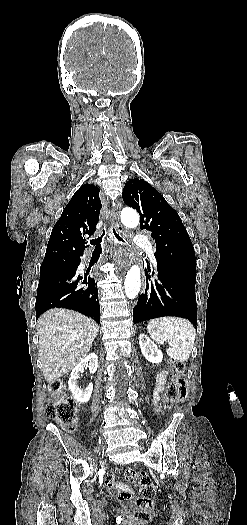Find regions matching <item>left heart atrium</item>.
Segmentation results:
<instances>
[{"label":"left heart atrium","instance_id":"39dd6f15","mask_svg":"<svg viewBox=\"0 0 247 525\" xmlns=\"http://www.w3.org/2000/svg\"><path fill=\"white\" fill-rule=\"evenodd\" d=\"M111 265L116 269L129 268L130 264H126V255L115 254L111 259ZM97 275H100L101 272H96Z\"/></svg>","mask_w":247,"mask_h":525}]
</instances>
